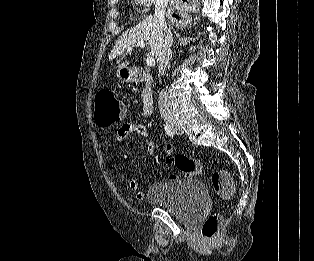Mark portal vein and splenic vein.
<instances>
[{
  "instance_id": "18ae733b",
  "label": "portal vein and splenic vein",
  "mask_w": 314,
  "mask_h": 261,
  "mask_svg": "<svg viewBox=\"0 0 314 261\" xmlns=\"http://www.w3.org/2000/svg\"><path fill=\"white\" fill-rule=\"evenodd\" d=\"M137 46H140L141 48H144V47H145V42H144V41H139V42L137 43ZM128 50L131 51V50H132V47H129ZM146 64H147V66H149V67L154 66V65H155V59H154V57L148 56L147 59H146Z\"/></svg>"
}]
</instances>
